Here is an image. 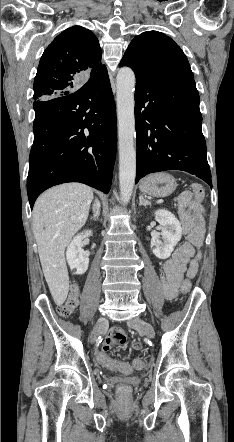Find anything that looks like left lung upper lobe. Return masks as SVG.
<instances>
[{
    "label": "left lung upper lobe",
    "instance_id": "obj_1",
    "mask_svg": "<svg viewBox=\"0 0 234 442\" xmlns=\"http://www.w3.org/2000/svg\"><path fill=\"white\" fill-rule=\"evenodd\" d=\"M120 66H129L135 76L194 79L181 48L158 31H146L129 44Z\"/></svg>",
    "mask_w": 234,
    "mask_h": 442
}]
</instances>
